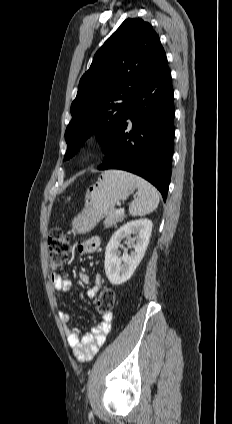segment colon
Returning a JSON list of instances; mask_svg holds the SVG:
<instances>
[{
  "label": "colon",
  "instance_id": "5ec220e1",
  "mask_svg": "<svg viewBox=\"0 0 232 424\" xmlns=\"http://www.w3.org/2000/svg\"><path fill=\"white\" fill-rule=\"evenodd\" d=\"M50 267L54 270L61 268L67 260L70 236L68 232L60 226L51 229L47 240ZM116 301L113 289L104 288L100 291L96 301V311L99 314H107L112 311Z\"/></svg>",
  "mask_w": 232,
  "mask_h": 424
}]
</instances>
